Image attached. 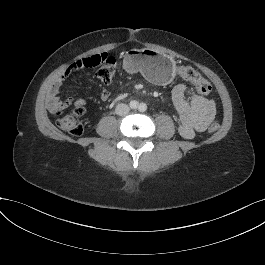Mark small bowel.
I'll use <instances>...</instances> for the list:
<instances>
[{"label":"small bowel","instance_id":"1","mask_svg":"<svg viewBox=\"0 0 265 265\" xmlns=\"http://www.w3.org/2000/svg\"><path fill=\"white\" fill-rule=\"evenodd\" d=\"M68 73L58 77L52 86L49 95L50 110H58L67 107L72 101L62 100L59 96V88ZM102 101L110 99V92L103 90L100 93ZM174 107L179 115V132L182 137L191 139L197 132L206 130L209 123L216 115V105L212 99L198 93L189 92L184 83L176 84L172 90ZM85 100L78 98L74 101L76 107L83 106Z\"/></svg>","mask_w":265,"mask_h":265}]
</instances>
